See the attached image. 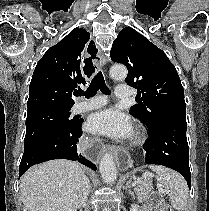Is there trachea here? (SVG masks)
Returning <instances> with one entry per match:
<instances>
[{
  "instance_id": "trachea-1",
  "label": "trachea",
  "mask_w": 209,
  "mask_h": 211,
  "mask_svg": "<svg viewBox=\"0 0 209 211\" xmlns=\"http://www.w3.org/2000/svg\"><path fill=\"white\" fill-rule=\"evenodd\" d=\"M98 90H101L103 93H109V90L105 84L103 74L99 72L91 81L86 92H78V96H85L86 98L94 96Z\"/></svg>"
}]
</instances>
